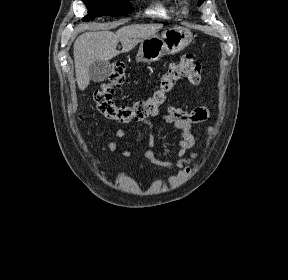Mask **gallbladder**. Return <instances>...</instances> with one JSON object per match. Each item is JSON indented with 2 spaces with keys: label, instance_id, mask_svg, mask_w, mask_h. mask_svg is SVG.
I'll list each match as a JSON object with an SVG mask.
<instances>
[{
  "label": "gallbladder",
  "instance_id": "bac80fb5",
  "mask_svg": "<svg viewBox=\"0 0 288 280\" xmlns=\"http://www.w3.org/2000/svg\"><path fill=\"white\" fill-rule=\"evenodd\" d=\"M88 74L94 82H102L111 74V64L108 61L97 60L90 65Z\"/></svg>",
  "mask_w": 288,
  "mask_h": 280
}]
</instances>
